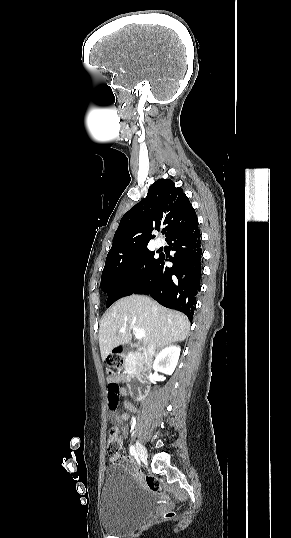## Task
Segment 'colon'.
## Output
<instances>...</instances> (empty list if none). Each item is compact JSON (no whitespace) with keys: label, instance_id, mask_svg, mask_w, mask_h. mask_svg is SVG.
<instances>
[{"label":"colon","instance_id":"1","mask_svg":"<svg viewBox=\"0 0 291 538\" xmlns=\"http://www.w3.org/2000/svg\"><path fill=\"white\" fill-rule=\"evenodd\" d=\"M108 373L112 377L116 371H119L124 364V358L117 353H112L107 357ZM120 400L119 385L116 383L108 384V403L111 409H115ZM123 439L116 427L111 428L108 437L107 451L111 456L118 454L122 447ZM146 483L149 489L155 493L163 492L162 484L159 478L146 475Z\"/></svg>","mask_w":291,"mask_h":538}]
</instances>
